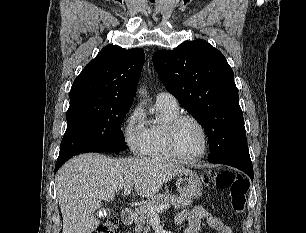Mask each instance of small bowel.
I'll return each instance as SVG.
<instances>
[{"label":"small bowel","mask_w":306,"mask_h":233,"mask_svg":"<svg viewBox=\"0 0 306 233\" xmlns=\"http://www.w3.org/2000/svg\"><path fill=\"white\" fill-rule=\"evenodd\" d=\"M203 220L218 233H234L233 229L219 217L209 214L200 206L181 211L177 215L175 223L183 226L185 233H199L200 224Z\"/></svg>","instance_id":"obj_1"}]
</instances>
